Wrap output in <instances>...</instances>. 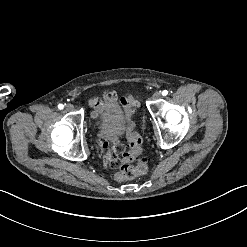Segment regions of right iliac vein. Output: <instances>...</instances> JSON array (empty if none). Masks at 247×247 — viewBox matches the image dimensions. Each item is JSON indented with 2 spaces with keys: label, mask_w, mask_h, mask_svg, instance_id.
<instances>
[{
  "label": "right iliac vein",
  "mask_w": 247,
  "mask_h": 247,
  "mask_svg": "<svg viewBox=\"0 0 247 247\" xmlns=\"http://www.w3.org/2000/svg\"><path fill=\"white\" fill-rule=\"evenodd\" d=\"M66 110H67V112H71V111L74 110V106L72 104H67L66 105Z\"/></svg>",
  "instance_id": "63e3f726"
}]
</instances>
